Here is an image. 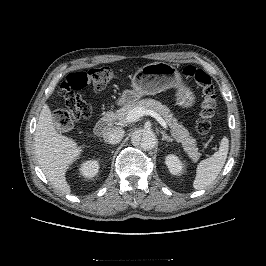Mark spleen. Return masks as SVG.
Here are the masks:
<instances>
[{"instance_id":"3e777b00","label":"spleen","mask_w":266,"mask_h":266,"mask_svg":"<svg viewBox=\"0 0 266 266\" xmlns=\"http://www.w3.org/2000/svg\"><path fill=\"white\" fill-rule=\"evenodd\" d=\"M229 140L223 137L219 150L207 159L202 160L196 169L193 187L196 190L210 186L221 172L228 154Z\"/></svg>"}]
</instances>
